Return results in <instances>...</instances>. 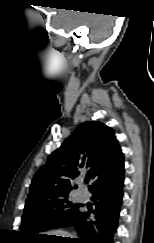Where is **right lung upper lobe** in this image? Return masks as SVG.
Wrapping results in <instances>:
<instances>
[{
  "instance_id": "obj_1",
  "label": "right lung upper lobe",
  "mask_w": 154,
  "mask_h": 243,
  "mask_svg": "<svg viewBox=\"0 0 154 243\" xmlns=\"http://www.w3.org/2000/svg\"><path fill=\"white\" fill-rule=\"evenodd\" d=\"M122 165L123 153L114 131L101 122L82 123L36 172L25 208L68 196L71 181L83 170L93 185Z\"/></svg>"
}]
</instances>
